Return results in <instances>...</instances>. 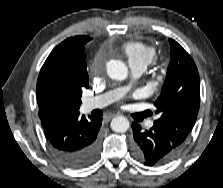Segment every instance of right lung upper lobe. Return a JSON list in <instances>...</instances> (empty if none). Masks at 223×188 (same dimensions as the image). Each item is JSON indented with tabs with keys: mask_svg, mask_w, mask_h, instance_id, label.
I'll list each match as a JSON object with an SVG mask.
<instances>
[{
	"mask_svg": "<svg viewBox=\"0 0 223 188\" xmlns=\"http://www.w3.org/2000/svg\"><path fill=\"white\" fill-rule=\"evenodd\" d=\"M92 38L70 37L56 46L40 70L36 98L41 121L79 114L76 91L88 88L84 45Z\"/></svg>",
	"mask_w": 223,
	"mask_h": 188,
	"instance_id": "1",
	"label": "right lung upper lobe"
}]
</instances>
